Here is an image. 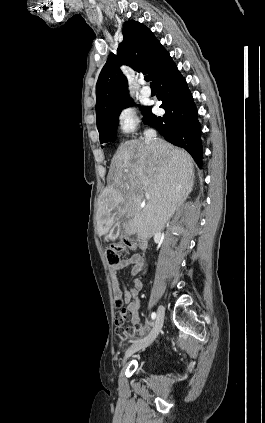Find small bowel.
Returning <instances> with one entry per match:
<instances>
[{"instance_id": "obj_1", "label": "small bowel", "mask_w": 265, "mask_h": 423, "mask_svg": "<svg viewBox=\"0 0 265 423\" xmlns=\"http://www.w3.org/2000/svg\"><path fill=\"white\" fill-rule=\"evenodd\" d=\"M143 266V258L139 254H132L131 256L123 259L117 265H113L109 268V273L112 280L113 292L116 299H121L122 302L127 304L126 310L130 314L132 327L124 337H120L122 340H126L134 334L141 332V319L139 314L140 309V298L139 293L142 289V282L134 278L130 285L125 287L124 293L121 292L118 282V272L124 268L131 267V274L137 275Z\"/></svg>"}]
</instances>
